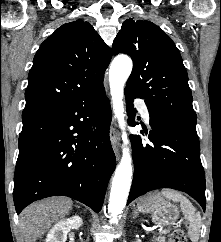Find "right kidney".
Here are the masks:
<instances>
[{
    "instance_id": "ca27d5eb",
    "label": "right kidney",
    "mask_w": 221,
    "mask_h": 242,
    "mask_svg": "<svg viewBox=\"0 0 221 242\" xmlns=\"http://www.w3.org/2000/svg\"><path fill=\"white\" fill-rule=\"evenodd\" d=\"M82 224V218L78 215L61 220L50 229L46 242H66L68 232L72 229H79Z\"/></svg>"
}]
</instances>
